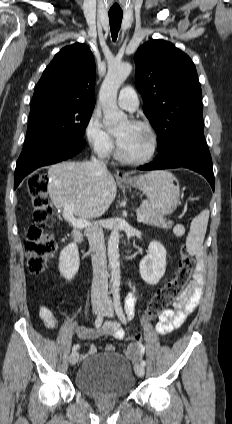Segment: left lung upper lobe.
<instances>
[{"mask_svg":"<svg viewBox=\"0 0 232 424\" xmlns=\"http://www.w3.org/2000/svg\"><path fill=\"white\" fill-rule=\"evenodd\" d=\"M134 61L143 111L159 137L158 149L180 130L202 124L201 86L188 55L159 39L142 45Z\"/></svg>","mask_w":232,"mask_h":424,"instance_id":"1","label":"left lung upper lobe"}]
</instances>
